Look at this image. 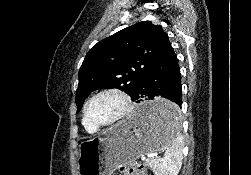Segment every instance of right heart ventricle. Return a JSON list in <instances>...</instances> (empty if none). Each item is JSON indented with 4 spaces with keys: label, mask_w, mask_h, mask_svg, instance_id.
I'll use <instances>...</instances> for the list:
<instances>
[{
    "label": "right heart ventricle",
    "mask_w": 251,
    "mask_h": 175,
    "mask_svg": "<svg viewBox=\"0 0 251 175\" xmlns=\"http://www.w3.org/2000/svg\"><path fill=\"white\" fill-rule=\"evenodd\" d=\"M83 126H84V129L87 133H89V134H96L97 133V130L93 129L92 127H90L84 123H83Z\"/></svg>",
    "instance_id": "obj_1"
}]
</instances>
